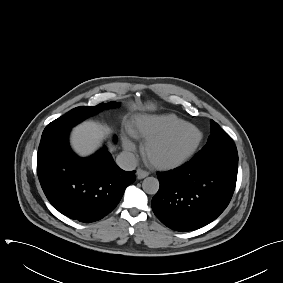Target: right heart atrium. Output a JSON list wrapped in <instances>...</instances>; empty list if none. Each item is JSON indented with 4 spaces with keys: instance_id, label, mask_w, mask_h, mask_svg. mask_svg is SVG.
Listing matches in <instances>:
<instances>
[{
    "instance_id": "right-heart-atrium-1",
    "label": "right heart atrium",
    "mask_w": 283,
    "mask_h": 283,
    "mask_svg": "<svg viewBox=\"0 0 283 283\" xmlns=\"http://www.w3.org/2000/svg\"><path fill=\"white\" fill-rule=\"evenodd\" d=\"M123 147L126 151H132L134 149L133 143L127 138H123Z\"/></svg>"
}]
</instances>
